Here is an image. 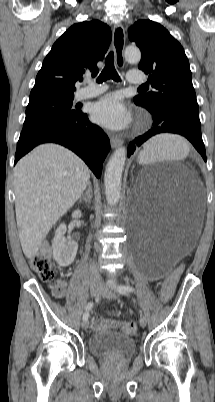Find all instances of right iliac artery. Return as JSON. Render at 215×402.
<instances>
[{
    "label": "right iliac artery",
    "instance_id": "82829eb1",
    "mask_svg": "<svg viewBox=\"0 0 215 402\" xmlns=\"http://www.w3.org/2000/svg\"><path fill=\"white\" fill-rule=\"evenodd\" d=\"M97 300V299H96ZM94 302L90 301L87 306H86V310L85 313L83 314V321H87L88 317H89V310H91L93 308Z\"/></svg>",
    "mask_w": 215,
    "mask_h": 402
}]
</instances>
